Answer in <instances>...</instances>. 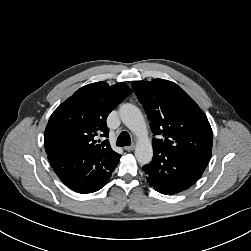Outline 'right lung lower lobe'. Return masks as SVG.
Masks as SVG:
<instances>
[{"instance_id":"right-lung-lower-lobe-1","label":"right lung lower lobe","mask_w":251,"mask_h":251,"mask_svg":"<svg viewBox=\"0 0 251 251\" xmlns=\"http://www.w3.org/2000/svg\"><path fill=\"white\" fill-rule=\"evenodd\" d=\"M48 160L60 180L78 193H92L101 189L119 162L106 168L100 157L82 155L72 149L53 151L48 154Z\"/></svg>"}]
</instances>
